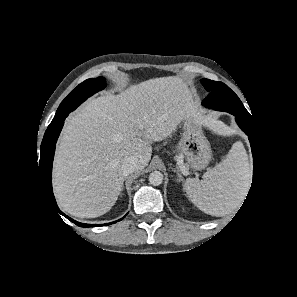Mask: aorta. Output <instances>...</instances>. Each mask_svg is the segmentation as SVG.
<instances>
[{
  "mask_svg": "<svg viewBox=\"0 0 297 297\" xmlns=\"http://www.w3.org/2000/svg\"><path fill=\"white\" fill-rule=\"evenodd\" d=\"M149 182L154 186H158L163 182V174L159 171L151 172L149 175Z\"/></svg>",
  "mask_w": 297,
  "mask_h": 297,
  "instance_id": "762f6f07",
  "label": "aorta"
}]
</instances>
